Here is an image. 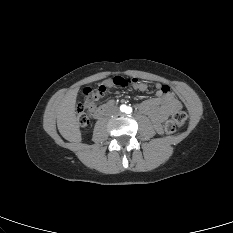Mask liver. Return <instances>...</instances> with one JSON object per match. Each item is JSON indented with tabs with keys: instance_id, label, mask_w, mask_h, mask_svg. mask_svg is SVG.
I'll list each match as a JSON object with an SVG mask.
<instances>
[{
	"instance_id": "1",
	"label": "liver",
	"mask_w": 233,
	"mask_h": 233,
	"mask_svg": "<svg viewBox=\"0 0 233 233\" xmlns=\"http://www.w3.org/2000/svg\"><path fill=\"white\" fill-rule=\"evenodd\" d=\"M78 90L66 93L57 107V127L66 140L73 141L79 137V122L76 118L75 103Z\"/></svg>"
}]
</instances>
